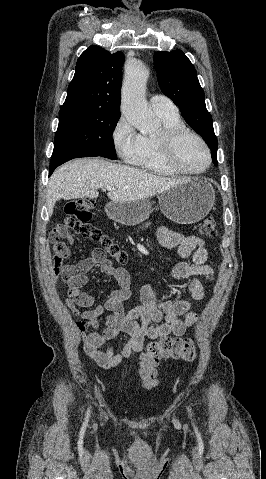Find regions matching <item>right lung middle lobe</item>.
<instances>
[{
    "mask_svg": "<svg viewBox=\"0 0 266 479\" xmlns=\"http://www.w3.org/2000/svg\"><path fill=\"white\" fill-rule=\"evenodd\" d=\"M120 114L59 115L52 155L73 158L101 156L116 160L112 133Z\"/></svg>",
    "mask_w": 266,
    "mask_h": 479,
    "instance_id": "right-lung-middle-lobe-1",
    "label": "right lung middle lobe"
}]
</instances>
